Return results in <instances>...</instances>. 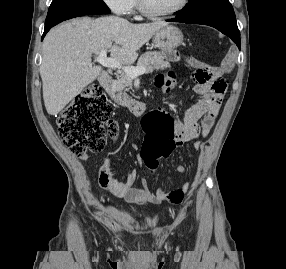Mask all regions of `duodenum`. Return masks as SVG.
I'll list each match as a JSON object with an SVG mask.
<instances>
[{"instance_id": "1", "label": "duodenum", "mask_w": 286, "mask_h": 269, "mask_svg": "<svg viewBox=\"0 0 286 269\" xmlns=\"http://www.w3.org/2000/svg\"><path fill=\"white\" fill-rule=\"evenodd\" d=\"M101 84L103 88L110 95L112 101L121 106L127 107L131 113L134 115H139L144 110V105L140 102L129 100L127 98L118 96L115 92V83L112 76L107 71H102L101 75Z\"/></svg>"}]
</instances>
